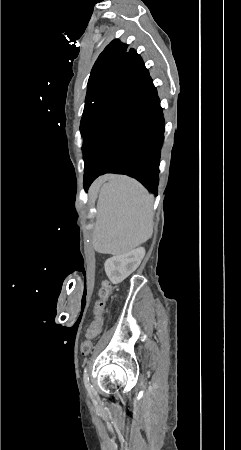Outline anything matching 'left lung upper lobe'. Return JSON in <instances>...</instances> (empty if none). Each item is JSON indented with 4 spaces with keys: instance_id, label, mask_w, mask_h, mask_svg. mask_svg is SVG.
I'll use <instances>...</instances> for the list:
<instances>
[{
    "instance_id": "left-lung-upper-lobe-1",
    "label": "left lung upper lobe",
    "mask_w": 241,
    "mask_h": 450,
    "mask_svg": "<svg viewBox=\"0 0 241 450\" xmlns=\"http://www.w3.org/2000/svg\"><path fill=\"white\" fill-rule=\"evenodd\" d=\"M132 51L119 40L106 46L96 60L89 80L80 124L84 141L99 114L119 95Z\"/></svg>"
}]
</instances>
